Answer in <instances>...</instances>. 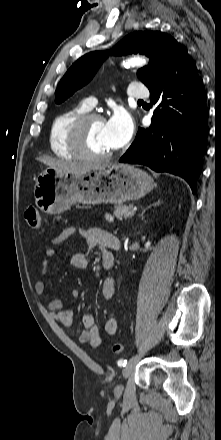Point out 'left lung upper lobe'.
Listing matches in <instances>:
<instances>
[{"instance_id": "left-lung-upper-lobe-1", "label": "left lung upper lobe", "mask_w": 221, "mask_h": 440, "mask_svg": "<svg viewBox=\"0 0 221 440\" xmlns=\"http://www.w3.org/2000/svg\"><path fill=\"white\" fill-rule=\"evenodd\" d=\"M183 49L171 36L157 31H139L124 37L112 50L113 55L144 54L150 58L148 66L138 70V78L148 87L164 71L175 54ZM108 52H91L79 58L61 79L56 92L57 104L88 83Z\"/></svg>"}]
</instances>
